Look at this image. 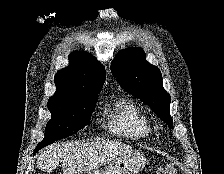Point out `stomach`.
<instances>
[{
    "label": "stomach",
    "mask_w": 224,
    "mask_h": 174,
    "mask_svg": "<svg viewBox=\"0 0 224 174\" xmlns=\"http://www.w3.org/2000/svg\"><path fill=\"white\" fill-rule=\"evenodd\" d=\"M146 158L139 151H130L113 160L102 171L93 169L85 174H136L145 165Z\"/></svg>",
    "instance_id": "obj_1"
}]
</instances>
